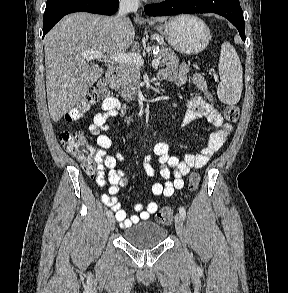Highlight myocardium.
Returning <instances> with one entry per match:
<instances>
[{"label": "myocardium", "instance_id": "f54148a6", "mask_svg": "<svg viewBox=\"0 0 288 293\" xmlns=\"http://www.w3.org/2000/svg\"><path fill=\"white\" fill-rule=\"evenodd\" d=\"M156 1H164V0H156Z\"/></svg>", "mask_w": 288, "mask_h": 293}]
</instances>
